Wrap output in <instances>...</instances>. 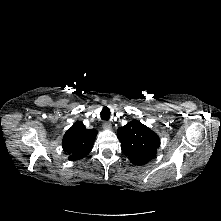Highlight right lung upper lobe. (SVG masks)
<instances>
[{
  "label": "right lung upper lobe",
  "mask_w": 221,
  "mask_h": 221,
  "mask_svg": "<svg viewBox=\"0 0 221 221\" xmlns=\"http://www.w3.org/2000/svg\"><path fill=\"white\" fill-rule=\"evenodd\" d=\"M97 131L86 129L81 121L67 130L63 137L62 147L69 154V160L76 161L86 157L91 151Z\"/></svg>",
  "instance_id": "obj_1"
}]
</instances>
